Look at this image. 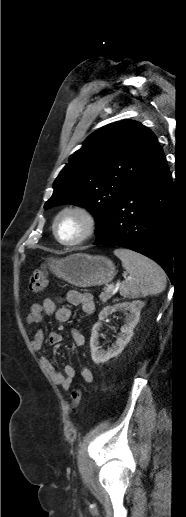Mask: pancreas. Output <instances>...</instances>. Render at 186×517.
Here are the masks:
<instances>
[{
    "instance_id": "pancreas-1",
    "label": "pancreas",
    "mask_w": 186,
    "mask_h": 517,
    "mask_svg": "<svg viewBox=\"0 0 186 517\" xmlns=\"http://www.w3.org/2000/svg\"><path fill=\"white\" fill-rule=\"evenodd\" d=\"M112 297V291H105L99 295L100 300L105 303Z\"/></svg>"
}]
</instances>
